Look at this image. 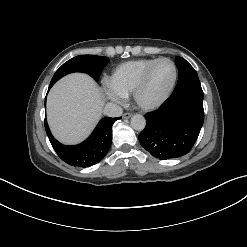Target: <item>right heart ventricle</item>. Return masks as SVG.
<instances>
[{
	"label": "right heart ventricle",
	"mask_w": 247,
	"mask_h": 247,
	"mask_svg": "<svg viewBox=\"0 0 247 247\" xmlns=\"http://www.w3.org/2000/svg\"><path fill=\"white\" fill-rule=\"evenodd\" d=\"M156 58L130 60L118 65L108 79V83L124 96L132 93L144 69Z\"/></svg>",
	"instance_id": "e07e8e85"
}]
</instances>
